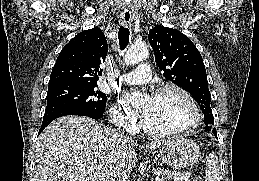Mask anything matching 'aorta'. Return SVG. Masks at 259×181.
Returning a JSON list of instances; mask_svg holds the SVG:
<instances>
[{
  "mask_svg": "<svg viewBox=\"0 0 259 181\" xmlns=\"http://www.w3.org/2000/svg\"><path fill=\"white\" fill-rule=\"evenodd\" d=\"M148 57V47L146 44H134L126 52L124 62L126 65H134Z\"/></svg>",
  "mask_w": 259,
  "mask_h": 181,
  "instance_id": "obj_1",
  "label": "aorta"
}]
</instances>
